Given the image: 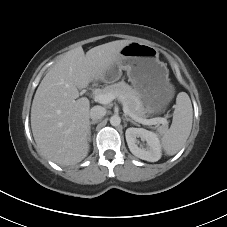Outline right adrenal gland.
Wrapping results in <instances>:
<instances>
[{"instance_id":"2a0ac1e0","label":"right adrenal gland","mask_w":227,"mask_h":227,"mask_svg":"<svg viewBox=\"0 0 227 227\" xmlns=\"http://www.w3.org/2000/svg\"><path fill=\"white\" fill-rule=\"evenodd\" d=\"M98 121L97 120H93L91 122H89L88 125V141H91V125L96 124Z\"/></svg>"}]
</instances>
